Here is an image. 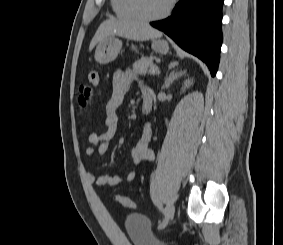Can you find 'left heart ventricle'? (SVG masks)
<instances>
[{"mask_svg": "<svg viewBox=\"0 0 283 245\" xmlns=\"http://www.w3.org/2000/svg\"><path fill=\"white\" fill-rule=\"evenodd\" d=\"M169 0H140L142 11L147 15L161 13L167 6Z\"/></svg>", "mask_w": 283, "mask_h": 245, "instance_id": "left-heart-ventricle-1", "label": "left heart ventricle"}]
</instances>
